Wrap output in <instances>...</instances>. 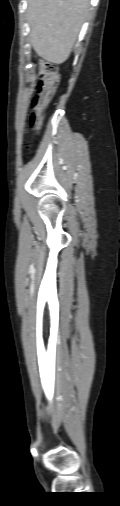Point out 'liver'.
I'll use <instances>...</instances> for the list:
<instances>
[{
	"label": "liver",
	"instance_id": "obj_1",
	"mask_svg": "<svg viewBox=\"0 0 120 506\" xmlns=\"http://www.w3.org/2000/svg\"><path fill=\"white\" fill-rule=\"evenodd\" d=\"M89 8V0H28L27 19L36 54L50 63L65 62Z\"/></svg>",
	"mask_w": 120,
	"mask_h": 506
}]
</instances>
